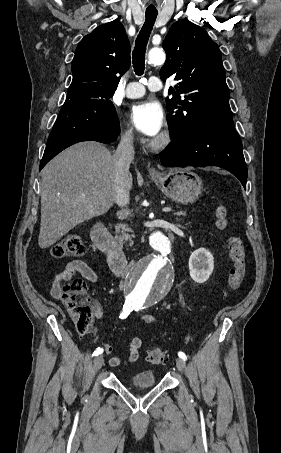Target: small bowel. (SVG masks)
Segmentation results:
<instances>
[{"label":"small bowel","instance_id":"small-bowel-1","mask_svg":"<svg viewBox=\"0 0 281 453\" xmlns=\"http://www.w3.org/2000/svg\"><path fill=\"white\" fill-rule=\"evenodd\" d=\"M76 273H80V275L85 280L93 284L96 283L98 280L96 272L89 265H87L84 261L80 259H73L66 264L63 270L57 272L53 276L49 289L52 297L55 300L63 302L65 298L63 283L71 281ZM91 306L96 317L98 318L103 317L104 312L98 302L96 301L93 302ZM144 320L147 322H155V319L148 315L144 317ZM159 323H164V321L161 320L159 321ZM141 348L142 339L140 337H134L130 343L126 362L127 363L136 362L139 358V352ZM103 349L106 353L112 352V346L110 344H105L103 346ZM123 361L124 359L122 356H112L108 359V364L110 366H119L123 363Z\"/></svg>","mask_w":281,"mask_h":453}]
</instances>
